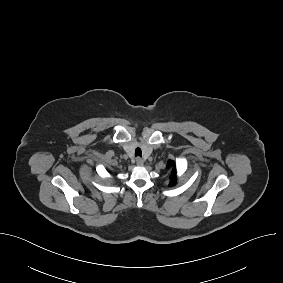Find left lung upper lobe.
<instances>
[{
    "label": "left lung upper lobe",
    "instance_id": "obj_1",
    "mask_svg": "<svg viewBox=\"0 0 283 283\" xmlns=\"http://www.w3.org/2000/svg\"><path fill=\"white\" fill-rule=\"evenodd\" d=\"M173 164L174 162L172 160H169L167 167L172 166ZM175 175H176V170L173 169L172 175H171L170 186L174 185L176 182Z\"/></svg>",
    "mask_w": 283,
    "mask_h": 283
}]
</instances>
